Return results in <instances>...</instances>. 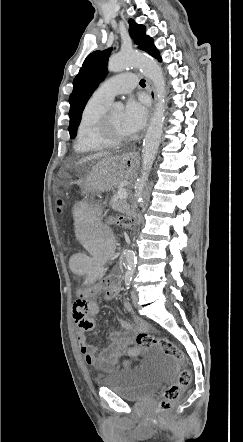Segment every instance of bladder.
Returning <instances> with one entry per match:
<instances>
[{"label":"bladder","mask_w":243,"mask_h":442,"mask_svg":"<svg viewBox=\"0 0 243 442\" xmlns=\"http://www.w3.org/2000/svg\"><path fill=\"white\" fill-rule=\"evenodd\" d=\"M176 362L169 355L152 353L136 366L111 371L101 378L100 386L129 401L143 400L175 376Z\"/></svg>","instance_id":"obj_1"}]
</instances>
